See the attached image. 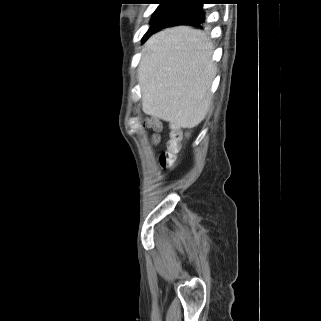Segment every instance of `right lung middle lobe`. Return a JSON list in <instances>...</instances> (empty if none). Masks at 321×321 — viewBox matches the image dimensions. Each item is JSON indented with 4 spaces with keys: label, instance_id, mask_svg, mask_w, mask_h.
Segmentation results:
<instances>
[{
    "label": "right lung middle lobe",
    "instance_id": "dd1d6c3e",
    "mask_svg": "<svg viewBox=\"0 0 321 321\" xmlns=\"http://www.w3.org/2000/svg\"><path fill=\"white\" fill-rule=\"evenodd\" d=\"M175 7L173 3L170 2H162L159 7L155 10V12L152 15L151 21H150V29L147 32V34L143 37V40H145L153 31L155 26L160 22L162 17L167 14L170 10H172Z\"/></svg>",
    "mask_w": 321,
    "mask_h": 321
}]
</instances>
